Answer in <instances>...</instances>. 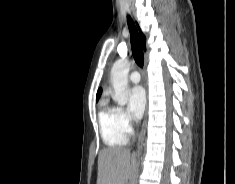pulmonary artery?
<instances>
[{"label":"pulmonary artery","mask_w":235,"mask_h":184,"mask_svg":"<svg viewBox=\"0 0 235 184\" xmlns=\"http://www.w3.org/2000/svg\"><path fill=\"white\" fill-rule=\"evenodd\" d=\"M129 80L133 84H138L141 81V75L139 72L134 71L129 75Z\"/></svg>","instance_id":"pulmonary-artery-1"}]
</instances>
